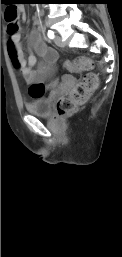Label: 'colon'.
<instances>
[{"label":"colon","mask_w":122,"mask_h":257,"mask_svg":"<svg viewBox=\"0 0 122 257\" xmlns=\"http://www.w3.org/2000/svg\"><path fill=\"white\" fill-rule=\"evenodd\" d=\"M5 19L8 24L10 34L18 30V5H4ZM11 52V49L10 51ZM93 68V62L86 57H78L73 60L64 62V67L61 68L62 75H69L70 72L80 73ZM57 79H51L50 82H33L27 86L28 98H49L51 90H55L56 84H62V79L59 75ZM98 87V77L95 74H87L83 80L77 84L70 94L62 97L57 102V112L61 116L69 115L78 106L84 104L91 94Z\"/></svg>","instance_id":"5ec220e1"}]
</instances>
